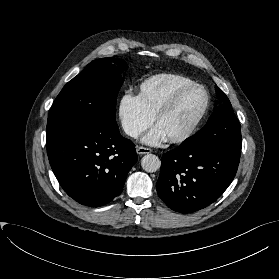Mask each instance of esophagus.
<instances>
[{
  "label": "esophagus",
  "instance_id": "obj_1",
  "mask_svg": "<svg viewBox=\"0 0 279 279\" xmlns=\"http://www.w3.org/2000/svg\"><path fill=\"white\" fill-rule=\"evenodd\" d=\"M136 152L139 155H144V154L151 153V149L146 148V147H137L136 148Z\"/></svg>",
  "mask_w": 279,
  "mask_h": 279
}]
</instances>
